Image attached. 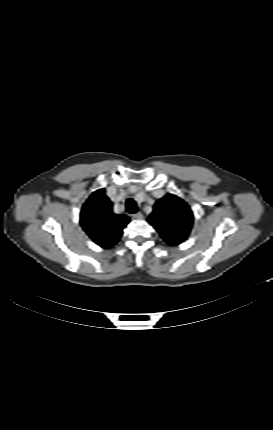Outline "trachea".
Instances as JSON below:
<instances>
[{
    "label": "trachea",
    "instance_id": "3493384b",
    "mask_svg": "<svg viewBox=\"0 0 273 430\" xmlns=\"http://www.w3.org/2000/svg\"><path fill=\"white\" fill-rule=\"evenodd\" d=\"M126 209L129 213H136L137 212V204L133 199H128L126 201Z\"/></svg>",
    "mask_w": 273,
    "mask_h": 430
}]
</instances>
